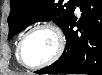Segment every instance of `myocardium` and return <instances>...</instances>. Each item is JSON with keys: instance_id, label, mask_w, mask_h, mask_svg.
I'll return each instance as SVG.
<instances>
[{"instance_id": "1", "label": "myocardium", "mask_w": 102, "mask_h": 75, "mask_svg": "<svg viewBox=\"0 0 102 75\" xmlns=\"http://www.w3.org/2000/svg\"><path fill=\"white\" fill-rule=\"evenodd\" d=\"M38 29H49V30H51L54 33V35L56 36L58 44H57L56 52L54 53V55L52 57H50L46 61L42 62L41 64L32 66V65H30V64H28L24 61V58H23V44H24L26 38L32 32H34ZM65 45H66L65 36H64L63 32L61 31V29L57 25H55L53 23H50V22H41V23L35 24L31 28H29L20 38L19 43H18V48H17L18 59L23 65H25L27 67H31V68H39V67L47 66V65H50L53 62H55L62 55V53L64 51V48H65Z\"/></svg>"}]
</instances>
